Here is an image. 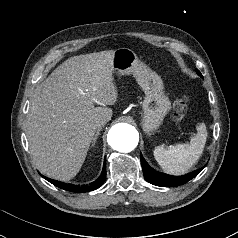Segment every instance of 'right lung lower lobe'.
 Here are the masks:
<instances>
[{"label":"right lung lower lobe","mask_w":238,"mask_h":238,"mask_svg":"<svg viewBox=\"0 0 238 238\" xmlns=\"http://www.w3.org/2000/svg\"><path fill=\"white\" fill-rule=\"evenodd\" d=\"M42 177L45 178L50 183H52L53 185H55L61 189L70 191V192H77V193L88 192V191H92V190L99 188L105 181V177H106L105 163H104L103 170H102V173L99 176V178L96 179L94 182L90 183L89 185L80 186V185L66 184L63 182H58V181L49 179L44 176H42Z\"/></svg>","instance_id":"right-lung-lower-lobe-1"}]
</instances>
